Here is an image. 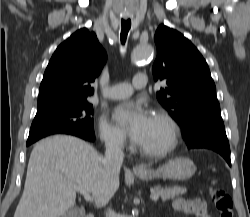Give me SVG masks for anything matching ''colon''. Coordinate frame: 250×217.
I'll list each match as a JSON object with an SVG mask.
<instances>
[{
	"mask_svg": "<svg viewBox=\"0 0 250 217\" xmlns=\"http://www.w3.org/2000/svg\"><path fill=\"white\" fill-rule=\"evenodd\" d=\"M209 194L219 217H234L233 202L225 190L217 186H212Z\"/></svg>",
	"mask_w": 250,
	"mask_h": 217,
	"instance_id": "colon-1",
	"label": "colon"
}]
</instances>
